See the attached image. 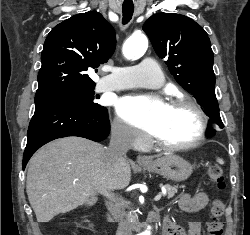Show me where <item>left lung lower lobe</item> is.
<instances>
[{"label": "left lung lower lobe", "instance_id": "obj_1", "mask_svg": "<svg viewBox=\"0 0 250 235\" xmlns=\"http://www.w3.org/2000/svg\"><path fill=\"white\" fill-rule=\"evenodd\" d=\"M207 133H212V129H208V130H207Z\"/></svg>", "mask_w": 250, "mask_h": 235}]
</instances>
